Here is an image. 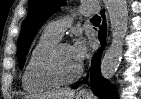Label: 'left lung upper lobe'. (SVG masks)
I'll list each match as a JSON object with an SVG mask.
<instances>
[{
    "instance_id": "obj_1",
    "label": "left lung upper lobe",
    "mask_w": 141,
    "mask_h": 99,
    "mask_svg": "<svg viewBox=\"0 0 141 99\" xmlns=\"http://www.w3.org/2000/svg\"><path fill=\"white\" fill-rule=\"evenodd\" d=\"M62 4L61 0H30L28 15L22 25L18 40V59L20 68H23L25 55L33 41V38L41 25L50 17Z\"/></svg>"
}]
</instances>
